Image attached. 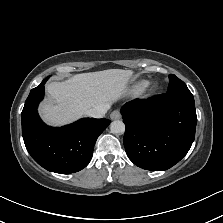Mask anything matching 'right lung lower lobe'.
<instances>
[{"label": "right lung lower lobe", "instance_id": "98d812e1", "mask_svg": "<svg viewBox=\"0 0 223 223\" xmlns=\"http://www.w3.org/2000/svg\"><path fill=\"white\" fill-rule=\"evenodd\" d=\"M45 82L31 90L21 113L26 149L48 171L61 174L80 171L90 162L95 142L110 120L83 118L61 128L45 125L37 112Z\"/></svg>", "mask_w": 223, "mask_h": 223}]
</instances>
